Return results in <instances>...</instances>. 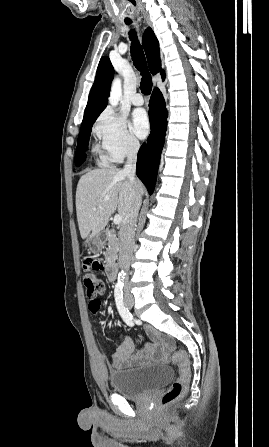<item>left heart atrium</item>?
<instances>
[{
  "instance_id": "39dd6f15",
  "label": "left heart atrium",
  "mask_w": 269,
  "mask_h": 447,
  "mask_svg": "<svg viewBox=\"0 0 269 447\" xmlns=\"http://www.w3.org/2000/svg\"><path fill=\"white\" fill-rule=\"evenodd\" d=\"M131 128L139 138H145L150 132L151 122L147 111L143 108L135 109L131 117Z\"/></svg>"
}]
</instances>
